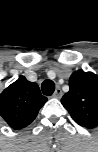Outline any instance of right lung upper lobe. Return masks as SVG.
Returning a JSON list of instances; mask_svg holds the SVG:
<instances>
[{"label": "right lung upper lobe", "instance_id": "right-lung-upper-lobe-1", "mask_svg": "<svg viewBox=\"0 0 98 152\" xmlns=\"http://www.w3.org/2000/svg\"><path fill=\"white\" fill-rule=\"evenodd\" d=\"M47 98L38 85L21 76L0 94V116L15 130L33 122Z\"/></svg>", "mask_w": 98, "mask_h": 152}]
</instances>
